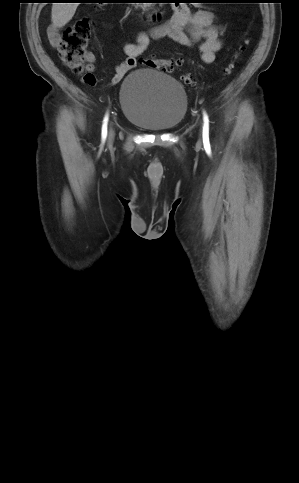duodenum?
I'll list each match as a JSON object with an SVG mask.
<instances>
[{
	"mask_svg": "<svg viewBox=\"0 0 299 483\" xmlns=\"http://www.w3.org/2000/svg\"><path fill=\"white\" fill-rule=\"evenodd\" d=\"M163 14L164 10L160 7L152 10L140 11V15L144 18L146 22L155 21L161 18Z\"/></svg>",
	"mask_w": 299,
	"mask_h": 483,
	"instance_id": "410a0bca",
	"label": "duodenum"
}]
</instances>
